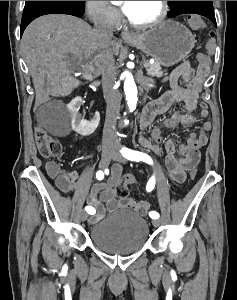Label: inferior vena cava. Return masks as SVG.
<instances>
[{
  "label": "inferior vena cava",
  "instance_id": "602c4592",
  "mask_svg": "<svg viewBox=\"0 0 237 300\" xmlns=\"http://www.w3.org/2000/svg\"><path fill=\"white\" fill-rule=\"evenodd\" d=\"M94 27L99 37L100 47L102 49V87L104 97L107 103L105 127L103 131V139H116L114 127L120 111L121 95L115 89L116 83V67L110 43L115 29L114 23H110L108 13L104 7H98L93 15Z\"/></svg>",
  "mask_w": 237,
  "mask_h": 300
}]
</instances>
